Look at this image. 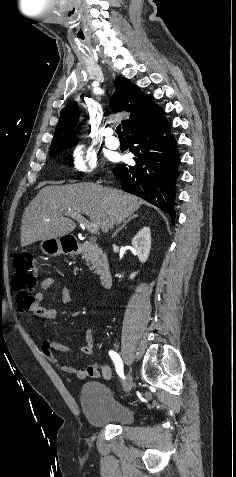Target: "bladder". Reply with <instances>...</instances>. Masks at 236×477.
<instances>
[{"mask_svg":"<svg viewBox=\"0 0 236 477\" xmlns=\"http://www.w3.org/2000/svg\"><path fill=\"white\" fill-rule=\"evenodd\" d=\"M80 404L89 423L94 426L109 424L129 425L135 411L127 403L118 400L110 388L98 381H88L80 390Z\"/></svg>","mask_w":236,"mask_h":477,"instance_id":"obj_1","label":"bladder"}]
</instances>
